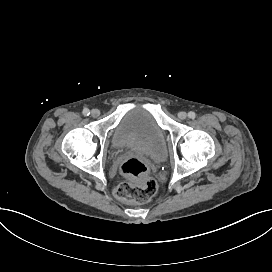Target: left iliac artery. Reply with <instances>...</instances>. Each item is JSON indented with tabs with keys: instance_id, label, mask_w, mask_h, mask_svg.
<instances>
[{
	"instance_id": "left-iliac-artery-1",
	"label": "left iliac artery",
	"mask_w": 272,
	"mask_h": 272,
	"mask_svg": "<svg viewBox=\"0 0 272 272\" xmlns=\"http://www.w3.org/2000/svg\"><path fill=\"white\" fill-rule=\"evenodd\" d=\"M195 116H196V114H195V112H193V111H190V112L188 113V117H189L190 119H194Z\"/></svg>"
}]
</instances>
